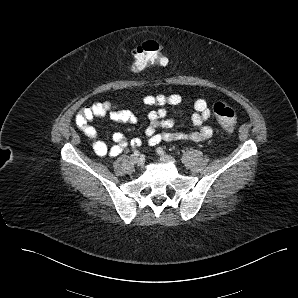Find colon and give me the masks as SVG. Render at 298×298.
<instances>
[{
    "label": "colon",
    "instance_id": "1",
    "mask_svg": "<svg viewBox=\"0 0 298 298\" xmlns=\"http://www.w3.org/2000/svg\"><path fill=\"white\" fill-rule=\"evenodd\" d=\"M166 58L161 46L155 41H146L137 46L132 52V69L140 72L150 66H164ZM213 113L220 126L228 133H232L237 125L235 111L223 102L213 105Z\"/></svg>",
    "mask_w": 298,
    "mask_h": 298
}]
</instances>
